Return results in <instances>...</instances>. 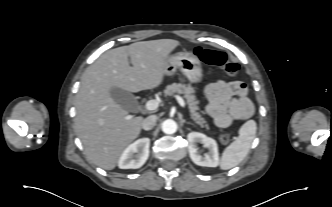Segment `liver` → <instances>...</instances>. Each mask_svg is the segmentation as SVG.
Listing matches in <instances>:
<instances>
[{"label": "liver", "instance_id": "liver-1", "mask_svg": "<svg viewBox=\"0 0 332 207\" xmlns=\"http://www.w3.org/2000/svg\"><path fill=\"white\" fill-rule=\"evenodd\" d=\"M179 45L173 39L136 42L105 52L85 70L75 101V130L93 164L114 169L123 150L139 136L144 120L130 117L112 98L111 89L131 93L157 88L170 53Z\"/></svg>", "mask_w": 332, "mask_h": 207}]
</instances>
